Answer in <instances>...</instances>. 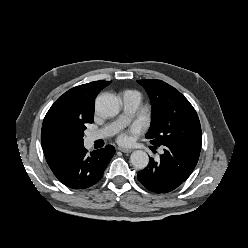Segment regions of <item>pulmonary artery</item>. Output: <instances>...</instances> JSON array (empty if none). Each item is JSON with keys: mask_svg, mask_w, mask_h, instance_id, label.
<instances>
[{"mask_svg": "<svg viewBox=\"0 0 248 248\" xmlns=\"http://www.w3.org/2000/svg\"><path fill=\"white\" fill-rule=\"evenodd\" d=\"M123 113L113 122L88 134L89 142L107 138L115 134L129 120L130 116L137 110L140 104V96L134 91L127 90L121 95Z\"/></svg>", "mask_w": 248, "mask_h": 248, "instance_id": "1", "label": "pulmonary artery"}]
</instances>
